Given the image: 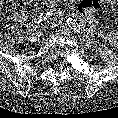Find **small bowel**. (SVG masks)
<instances>
[{
  "mask_svg": "<svg viewBox=\"0 0 118 118\" xmlns=\"http://www.w3.org/2000/svg\"><path fill=\"white\" fill-rule=\"evenodd\" d=\"M27 1H32V0H27ZM64 1H67V0H64ZM78 1H80V0H69V3H68V5H69V8L72 10V9H74V3H76V2H78ZM101 1H103L104 3H107L108 5H110V4H112V10H114V7H115V2L117 3V0L115 1V0H101ZM57 2L59 3L60 2V0H45V3L47 4V5H49V7H57ZM71 5V6H70ZM87 6H92V3L91 4H88ZM84 9V8H83ZM91 9V8H90ZM86 10V9H85ZM60 13V12H59ZM118 13V12H117ZM28 13L26 12V11H22L21 12V14H19L18 16H17V21L18 22H20V23H24V22H26L27 20H28ZM34 35V34H33Z\"/></svg>",
  "mask_w": 118,
  "mask_h": 118,
  "instance_id": "c3829d8e",
  "label": "small bowel"
}]
</instances>
